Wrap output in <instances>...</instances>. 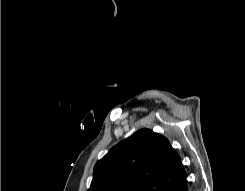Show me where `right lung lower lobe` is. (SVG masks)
<instances>
[{"label":"right lung lower lobe","instance_id":"right-lung-lower-lobe-1","mask_svg":"<svg viewBox=\"0 0 245 191\" xmlns=\"http://www.w3.org/2000/svg\"><path fill=\"white\" fill-rule=\"evenodd\" d=\"M167 191H188L186 178L175 184L174 186L167 189Z\"/></svg>","mask_w":245,"mask_h":191}]
</instances>
